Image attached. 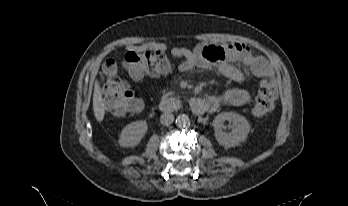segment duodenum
I'll list each match as a JSON object with an SVG mask.
<instances>
[{
  "mask_svg": "<svg viewBox=\"0 0 348 206\" xmlns=\"http://www.w3.org/2000/svg\"><path fill=\"white\" fill-rule=\"evenodd\" d=\"M213 101L209 98L193 96L186 101L167 98L159 103V109L163 113L178 112L184 108H190L195 115H203L211 110Z\"/></svg>",
  "mask_w": 348,
  "mask_h": 206,
  "instance_id": "duodenum-1",
  "label": "duodenum"
}]
</instances>
